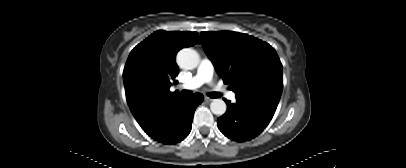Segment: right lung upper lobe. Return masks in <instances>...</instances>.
Returning <instances> with one entry per match:
<instances>
[{"instance_id":"cb5924a9","label":"right lung upper lobe","mask_w":406,"mask_h":168,"mask_svg":"<svg viewBox=\"0 0 406 168\" xmlns=\"http://www.w3.org/2000/svg\"><path fill=\"white\" fill-rule=\"evenodd\" d=\"M197 43L196 32L156 31L131 51L123 79L128 105L141 127L180 98L169 90L178 74L175 56L181 48Z\"/></svg>"}]
</instances>
